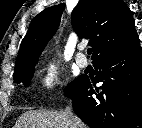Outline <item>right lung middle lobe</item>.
Wrapping results in <instances>:
<instances>
[{"label": "right lung middle lobe", "instance_id": "dd1d6c3e", "mask_svg": "<svg viewBox=\"0 0 142 128\" xmlns=\"http://www.w3.org/2000/svg\"><path fill=\"white\" fill-rule=\"evenodd\" d=\"M36 62L37 59L15 66L14 81L16 83L22 82L26 87H28L31 78L33 77V71ZM81 80L82 77L80 76L76 78L71 84L68 85V88L66 90L67 97L69 98L71 97L72 93L77 88Z\"/></svg>", "mask_w": 142, "mask_h": 128}]
</instances>
